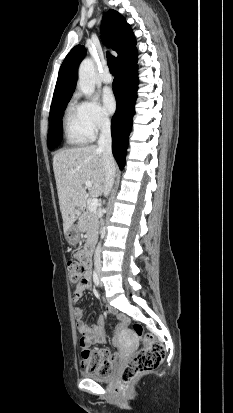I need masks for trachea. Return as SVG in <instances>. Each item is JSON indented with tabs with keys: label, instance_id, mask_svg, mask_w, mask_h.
<instances>
[{
	"label": "trachea",
	"instance_id": "3493384b",
	"mask_svg": "<svg viewBox=\"0 0 233 413\" xmlns=\"http://www.w3.org/2000/svg\"><path fill=\"white\" fill-rule=\"evenodd\" d=\"M107 64L112 74L116 73V59L107 53Z\"/></svg>",
	"mask_w": 233,
	"mask_h": 413
}]
</instances>
